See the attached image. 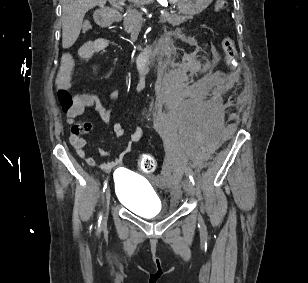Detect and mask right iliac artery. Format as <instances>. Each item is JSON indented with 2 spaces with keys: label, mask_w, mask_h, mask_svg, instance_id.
Returning <instances> with one entry per match:
<instances>
[{
  "label": "right iliac artery",
  "mask_w": 308,
  "mask_h": 283,
  "mask_svg": "<svg viewBox=\"0 0 308 283\" xmlns=\"http://www.w3.org/2000/svg\"><path fill=\"white\" fill-rule=\"evenodd\" d=\"M106 188H107V180L104 181L103 192H105ZM101 221H102V217L100 216L98 219V226H100Z\"/></svg>",
  "instance_id": "right-iliac-artery-1"
}]
</instances>
